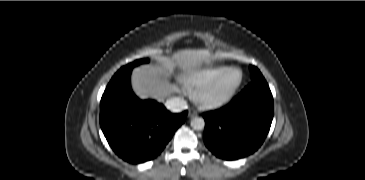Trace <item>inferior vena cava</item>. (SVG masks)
Returning <instances> with one entry per match:
<instances>
[{
	"instance_id": "602c4592",
	"label": "inferior vena cava",
	"mask_w": 365,
	"mask_h": 180,
	"mask_svg": "<svg viewBox=\"0 0 365 180\" xmlns=\"http://www.w3.org/2000/svg\"><path fill=\"white\" fill-rule=\"evenodd\" d=\"M165 106L172 112H181L188 108L187 102L180 97H173L166 101Z\"/></svg>"
}]
</instances>
